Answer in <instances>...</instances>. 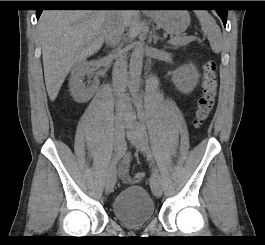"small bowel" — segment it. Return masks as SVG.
I'll return each instance as SVG.
<instances>
[{"label":"small bowel","mask_w":265,"mask_h":245,"mask_svg":"<svg viewBox=\"0 0 265 245\" xmlns=\"http://www.w3.org/2000/svg\"><path fill=\"white\" fill-rule=\"evenodd\" d=\"M128 169H129V159L126 156L123 162L119 166V175L124 181H128Z\"/></svg>","instance_id":"1"}]
</instances>
